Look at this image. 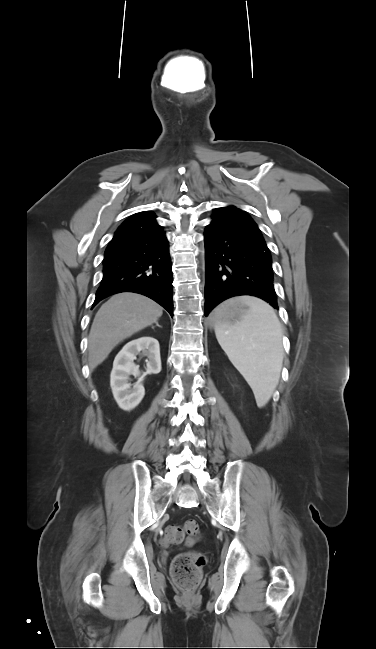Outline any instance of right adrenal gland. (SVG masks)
Returning a JSON list of instances; mask_svg holds the SVG:
<instances>
[{"label":"right adrenal gland","mask_w":376,"mask_h":649,"mask_svg":"<svg viewBox=\"0 0 376 649\" xmlns=\"http://www.w3.org/2000/svg\"><path fill=\"white\" fill-rule=\"evenodd\" d=\"M156 326H158V327H160V328H161V326H160V325L158 324V322H156ZM152 328H154V327L152 326Z\"/></svg>","instance_id":"obj_1"}]
</instances>
